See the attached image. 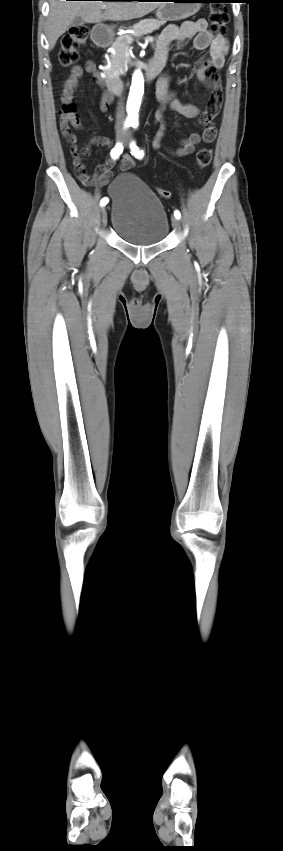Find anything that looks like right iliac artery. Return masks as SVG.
Here are the masks:
<instances>
[{
    "label": "right iliac artery",
    "instance_id": "obj_1",
    "mask_svg": "<svg viewBox=\"0 0 283 851\" xmlns=\"http://www.w3.org/2000/svg\"><path fill=\"white\" fill-rule=\"evenodd\" d=\"M123 152V145L121 143H117L115 147L111 150L110 155L113 159H117ZM109 202L107 197H104L100 201L101 206H105Z\"/></svg>",
    "mask_w": 283,
    "mask_h": 851
}]
</instances>
